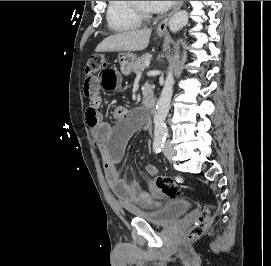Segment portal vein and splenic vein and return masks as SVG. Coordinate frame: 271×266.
<instances>
[{
  "mask_svg": "<svg viewBox=\"0 0 271 266\" xmlns=\"http://www.w3.org/2000/svg\"><path fill=\"white\" fill-rule=\"evenodd\" d=\"M146 67H148L149 65H150V61L149 60H147L146 62H145V64H144Z\"/></svg>",
  "mask_w": 271,
  "mask_h": 266,
  "instance_id": "1",
  "label": "portal vein and splenic vein"
}]
</instances>
